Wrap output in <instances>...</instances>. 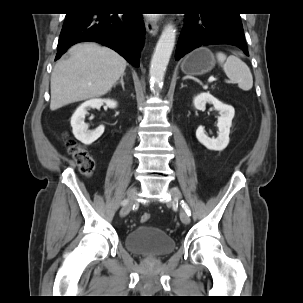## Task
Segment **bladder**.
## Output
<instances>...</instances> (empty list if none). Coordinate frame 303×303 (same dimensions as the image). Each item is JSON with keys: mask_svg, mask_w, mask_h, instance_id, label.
Segmentation results:
<instances>
[{"mask_svg": "<svg viewBox=\"0 0 303 303\" xmlns=\"http://www.w3.org/2000/svg\"><path fill=\"white\" fill-rule=\"evenodd\" d=\"M125 249L141 257H165L176 249L174 239L165 231L150 225H140L125 237Z\"/></svg>", "mask_w": 303, "mask_h": 303, "instance_id": "1", "label": "bladder"}]
</instances>
